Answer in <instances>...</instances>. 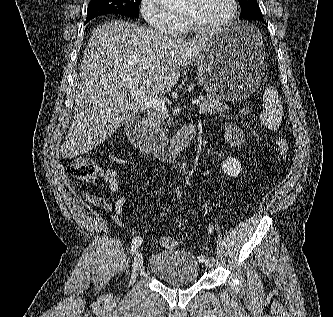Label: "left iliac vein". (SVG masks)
Returning <instances> with one entry per match:
<instances>
[{
    "label": "left iliac vein",
    "instance_id": "left-iliac-vein-1",
    "mask_svg": "<svg viewBox=\"0 0 333 317\" xmlns=\"http://www.w3.org/2000/svg\"><path fill=\"white\" fill-rule=\"evenodd\" d=\"M214 258L213 257H208V259L205 260V264L207 267H212L214 265Z\"/></svg>",
    "mask_w": 333,
    "mask_h": 317
}]
</instances>
